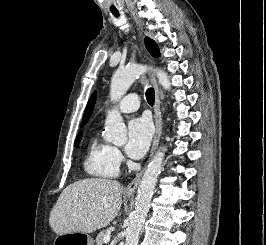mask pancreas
<instances>
[{
  "instance_id": "1",
  "label": "pancreas",
  "mask_w": 266,
  "mask_h": 245,
  "mask_svg": "<svg viewBox=\"0 0 266 245\" xmlns=\"http://www.w3.org/2000/svg\"><path fill=\"white\" fill-rule=\"evenodd\" d=\"M106 235H110L109 231H101V233H99L95 239L96 245H104L103 239L106 237Z\"/></svg>"
}]
</instances>
